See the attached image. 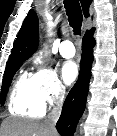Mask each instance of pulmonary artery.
Wrapping results in <instances>:
<instances>
[{"instance_id":"pulmonary-artery-1","label":"pulmonary artery","mask_w":117,"mask_h":136,"mask_svg":"<svg viewBox=\"0 0 117 136\" xmlns=\"http://www.w3.org/2000/svg\"><path fill=\"white\" fill-rule=\"evenodd\" d=\"M60 54L64 58H71L75 55V48L73 42L70 40H64L60 45Z\"/></svg>"}]
</instances>
